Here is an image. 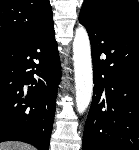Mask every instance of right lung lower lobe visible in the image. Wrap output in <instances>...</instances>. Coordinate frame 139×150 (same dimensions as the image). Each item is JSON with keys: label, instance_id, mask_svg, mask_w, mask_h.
Returning a JSON list of instances; mask_svg holds the SVG:
<instances>
[{"label": "right lung lower lobe", "instance_id": "right-lung-lower-lobe-1", "mask_svg": "<svg viewBox=\"0 0 139 150\" xmlns=\"http://www.w3.org/2000/svg\"><path fill=\"white\" fill-rule=\"evenodd\" d=\"M60 76L53 20L34 36L0 49V142L49 149Z\"/></svg>", "mask_w": 139, "mask_h": 150}]
</instances>
